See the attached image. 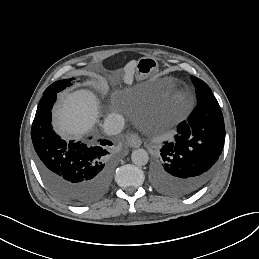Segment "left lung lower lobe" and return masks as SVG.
<instances>
[{
	"instance_id": "0a47b994",
	"label": "left lung lower lobe",
	"mask_w": 259,
	"mask_h": 259,
	"mask_svg": "<svg viewBox=\"0 0 259 259\" xmlns=\"http://www.w3.org/2000/svg\"><path fill=\"white\" fill-rule=\"evenodd\" d=\"M198 105L179 124L175 140L165 143L150 171L161 193L183 197L204 186L214 175L225 141V125L212 91L197 93Z\"/></svg>"
}]
</instances>
